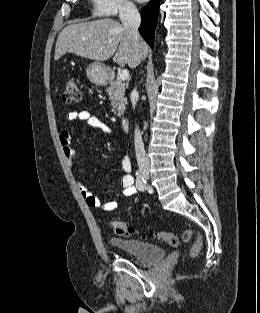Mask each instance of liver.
I'll return each mask as SVG.
<instances>
[{"instance_id":"1","label":"liver","mask_w":260,"mask_h":313,"mask_svg":"<svg viewBox=\"0 0 260 313\" xmlns=\"http://www.w3.org/2000/svg\"><path fill=\"white\" fill-rule=\"evenodd\" d=\"M147 45L139 38L136 42L130 28L112 19L74 23L59 34L55 47V61L66 53L95 61H113L130 68L138 65Z\"/></svg>"}]
</instances>
